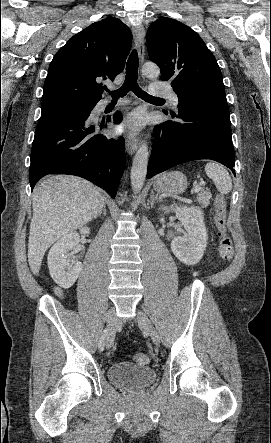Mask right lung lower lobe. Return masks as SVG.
Instances as JSON below:
<instances>
[{
	"label": "right lung lower lobe",
	"mask_w": 271,
	"mask_h": 443,
	"mask_svg": "<svg viewBox=\"0 0 271 443\" xmlns=\"http://www.w3.org/2000/svg\"><path fill=\"white\" fill-rule=\"evenodd\" d=\"M96 105V104H95ZM94 105V106H95ZM89 110L61 109L41 114L31 151L30 186L48 174L83 177L114 198L125 169L124 139H107L95 130L107 124L91 123ZM119 124L120 112L107 122Z\"/></svg>",
	"instance_id": "right-lung-lower-lobe-1"
}]
</instances>
